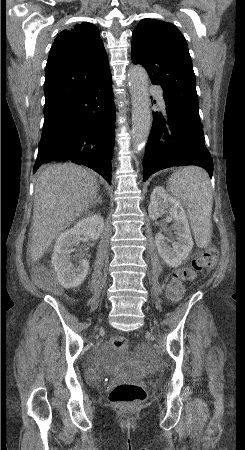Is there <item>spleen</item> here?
I'll use <instances>...</instances> for the list:
<instances>
[{"mask_svg": "<svg viewBox=\"0 0 245 450\" xmlns=\"http://www.w3.org/2000/svg\"><path fill=\"white\" fill-rule=\"evenodd\" d=\"M168 190L187 209L196 243L200 247H206L212 234L213 204L207 172L197 166L179 169L169 178Z\"/></svg>", "mask_w": 245, "mask_h": 450, "instance_id": "3e777b00", "label": "spleen"}]
</instances>
